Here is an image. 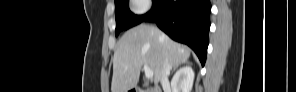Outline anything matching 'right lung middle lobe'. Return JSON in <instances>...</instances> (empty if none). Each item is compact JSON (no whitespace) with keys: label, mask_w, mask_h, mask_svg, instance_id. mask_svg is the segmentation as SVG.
Returning <instances> with one entry per match:
<instances>
[{"label":"right lung middle lobe","mask_w":296,"mask_h":92,"mask_svg":"<svg viewBox=\"0 0 296 92\" xmlns=\"http://www.w3.org/2000/svg\"><path fill=\"white\" fill-rule=\"evenodd\" d=\"M129 0H116L115 1V14H116V36L119 32L127 30L139 24L147 14L143 16L134 15L129 10ZM158 0H153L152 8L157 4Z\"/></svg>","instance_id":"obj_1"}]
</instances>
